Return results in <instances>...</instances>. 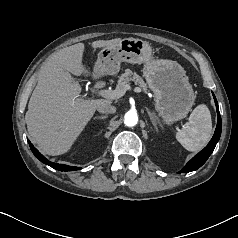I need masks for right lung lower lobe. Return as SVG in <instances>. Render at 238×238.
Returning <instances> with one entry per match:
<instances>
[{"label":"right lung lower lobe","instance_id":"right-lung-lower-lobe-1","mask_svg":"<svg viewBox=\"0 0 238 238\" xmlns=\"http://www.w3.org/2000/svg\"><path fill=\"white\" fill-rule=\"evenodd\" d=\"M30 148L33 152V154L44 164H47L49 166H51L52 168L56 169V170H60V171H73V170H79L80 168L77 167H70L67 165H63V164H58V163H52L49 160H47L41 153H39V151L31 144L30 141H28Z\"/></svg>","mask_w":238,"mask_h":238}]
</instances>
